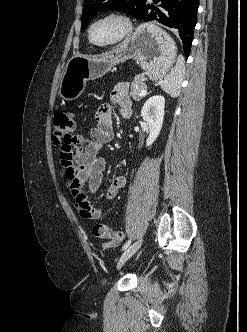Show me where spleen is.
I'll list each match as a JSON object with an SVG mask.
<instances>
[{"label":"spleen","instance_id":"obj_1","mask_svg":"<svg viewBox=\"0 0 247 332\" xmlns=\"http://www.w3.org/2000/svg\"><path fill=\"white\" fill-rule=\"evenodd\" d=\"M185 61L182 55L177 59L176 65L171 71L161 80V89L169 94L171 97L180 95L181 82L184 78Z\"/></svg>","mask_w":247,"mask_h":332}]
</instances>
